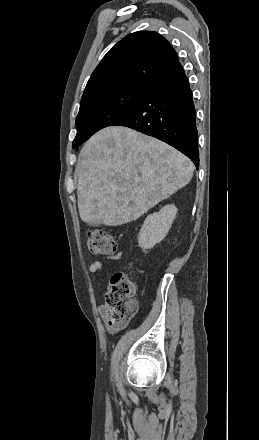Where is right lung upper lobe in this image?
Instances as JSON below:
<instances>
[{
	"instance_id": "1",
	"label": "right lung upper lobe",
	"mask_w": 259,
	"mask_h": 440,
	"mask_svg": "<svg viewBox=\"0 0 259 440\" xmlns=\"http://www.w3.org/2000/svg\"><path fill=\"white\" fill-rule=\"evenodd\" d=\"M178 63L176 51L160 34L154 31L129 34L93 71L81 104L119 89L149 88Z\"/></svg>"
}]
</instances>
